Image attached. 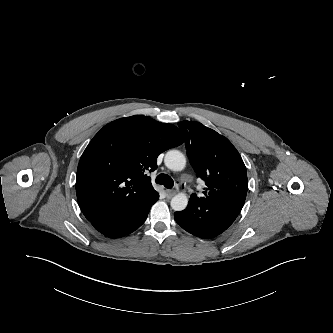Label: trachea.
<instances>
[{"instance_id": "trachea-1", "label": "trachea", "mask_w": 333, "mask_h": 333, "mask_svg": "<svg viewBox=\"0 0 333 333\" xmlns=\"http://www.w3.org/2000/svg\"><path fill=\"white\" fill-rule=\"evenodd\" d=\"M155 181H156L157 184L164 185V187L169 188V189L174 186V181L167 174H159L156 177Z\"/></svg>"}]
</instances>
